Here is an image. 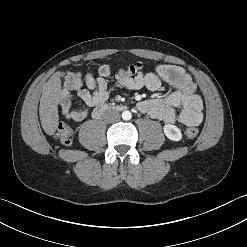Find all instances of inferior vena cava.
I'll use <instances>...</instances> for the list:
<instances>
[{"instance_id":"inferior-vena-cava-1","label":"inferior vena cava","mask_w":247,"mask_h":247,"mask_svg":"<svg viewBox=\"0 0 247 247\" xmlns=\"http://www.w3.org/2000/svg\"><path fill=\"white\" fill-rule=\"evenodd\" d=\"M104 118L108 122H115L120 119V114L115 110H109L105 113Z\"/></svg>"}]
</instances>
